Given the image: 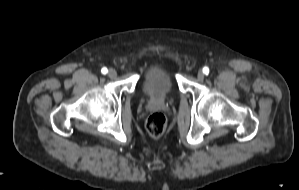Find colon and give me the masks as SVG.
Instances as JSON below:
<instances>
[{"label": "colon", "mask_w": 299, "mask_h": 190, "mask_svg": "<svg viewBox=\"0 0 299 190\" xmlns=\"http://www.w3.org/2000/svg\"><path fill=\"white\" fill-rule=\"evenodd\" d=\"M146 128L150 136L159 138L166 129V118L160 112H155L149 116L146 122Z\"/></svg>", "instance_id": "1"}]
</instances>
